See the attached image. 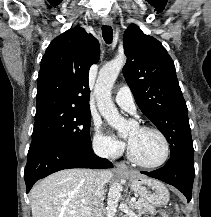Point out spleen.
Returning <instances> with one entry per match:
<instances>
[{
	"instance_id": "3e777b00",
	"label": "spleen",
	"mask_w": 211,
	"mask_h": 217,
	"mask_svg": "<svg viewBox=\"0 0 211 217\" xmlns=\"http://www.w3.org/2000/svg\"><path fill=\"white\" fill-rule=\"evenodd\" d=\"M176 210H177V211L179 210L177 205H176Z\"/></svg>"
}]
</instances>
